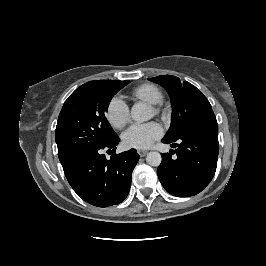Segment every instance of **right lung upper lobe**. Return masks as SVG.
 <instances>
[{"instance_id":"1","label":"right lung upper lobe","mask_w":266,"mask_h":266,"mask_svg":"<svg viewBox=\"0 0 266 266\" xmlns=\"http://www.w3.org/2000/svg\"><path fill=\"white\" fill-rule=\"evenodd\" d=\"M98 81H99V80L87 82V83L83 84L82 86H80V87H79L78 89H76V90L84 89V88H86V87H88V86H90V85H92V84L97 83Z\"/></svg>"}]
</instances>
